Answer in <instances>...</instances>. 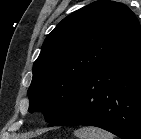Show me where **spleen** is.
I'll use <instances>...</instances> for the list:
<instances>
[{
    "instance_id": "3e777b00",
    "label": "spleen",
    "mask_w": 141,
    "mask_h": 139,
    "mask_svg": "<svg viewBox=\"0 0 141 139\" xmlns=\"http://www.w3.org/2000/svg\"><path fill=\"white\" fill-rule=\"evenodd\" d=\"M78 139H114L113 134L96 127H82L74 132Z\"/></svg>"
}]
</instances>
